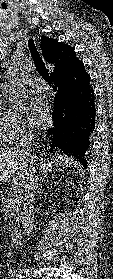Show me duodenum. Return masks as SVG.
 <instances>
[{
	"label": "duodenum",
	"mask_w": 113,
	"mask_h": 279,
	"mask_svg": "<svg viewBox=\"0 0 113 279\" xmlns=\"http://www.w3.org/2000/svg\"><path fill=\"white\" fill-rule=\"evenodd\" d=\"M21 235V227L16 226L12 229L10 233V244L13 246H18Z\"/></svg>",
	"instance_id": "duodenum-1"
}]
</instances>
